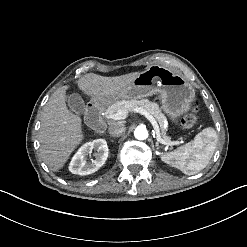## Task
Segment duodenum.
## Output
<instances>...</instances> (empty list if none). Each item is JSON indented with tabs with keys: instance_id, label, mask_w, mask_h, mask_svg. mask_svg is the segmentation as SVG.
Masks as SVG:
<instances>
[{
	"instance_id": "duodenum-1",
	"label": "duodenum",
	"mask_w": 247,
	"mask_h": 247,
	"mask_svg": "<svg viewBox=\"0 0 247 247\" xmlns=\"http://www.w3.org/2000/svg\"><path fill=\"white\" fill-rule=\"evenodd\" d=\"M87 122L99 133L106 130L107 123L103 115V109L96 104H89L86 110Z\"/></svg>"
}]
</instances>
